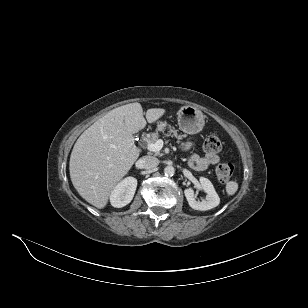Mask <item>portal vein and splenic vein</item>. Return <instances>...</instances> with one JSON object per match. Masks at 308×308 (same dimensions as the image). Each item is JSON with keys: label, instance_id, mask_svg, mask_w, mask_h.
Instances as JSON below:
<instances>
[{"label": "portal vein and splenic vein", "instance_id": "18ae733b", "mask_svg": "<svg viewBox=\"0 0 308 308\" xmlns=\"http://www.w3.org/2000/svg\"><path fill=\"white\" fill-rule=\"evenodd\" d=\"M164 145L162 139H158L155 143H150L147 145V149L152 152L160 151Z\"/></svg>", "mask_w": 308, "mask_h": 308}]
</instances>
